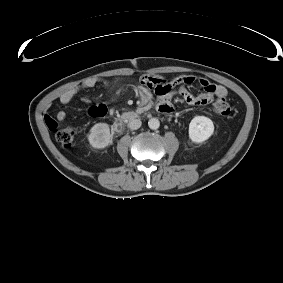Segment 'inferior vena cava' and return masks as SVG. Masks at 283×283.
Here are the masks:
<instances>
[{"mask_svg":"<svg viewBox=\"0 0 283 283\" xmlns=\"http://www.w3.org/2000/svg\"><path fill=\"white\" fill-rule=\"evenodd\" d=\"M141 124H142V122H141L140 119H133L128 123V127L131 130H137L141 127Z\"/></svg>","mask_w":283,"mask_h":283,"instance_id":"1","label":"inferior vena cava"}]
</instances>
